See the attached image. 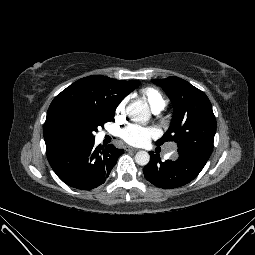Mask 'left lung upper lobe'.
<instances>
[{"label":"left lung upper lobe","mask_w":255,"mask_h":255,"mask_svg":"<svg viewBox=\"0 0 255 255\" xmlns=\"http://www.w3.org/2000/svg\"><path fill=\"white\" fill-rule=\"evenodd\" d=\"M170 98L174 113L170 128L156 144L175 141L178 153L208 160L213 150L216 120L208 97L178 77L153 80Z\"/></svg>","instance_id":"1"}]
</instances>
